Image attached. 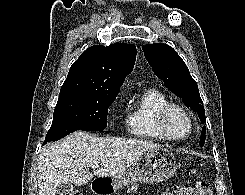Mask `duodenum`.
I'll use <instances>...</instances> for the list:
<instances>
[{"label":"duodenum","mask_w":245,"mask_h":195,"mask_svg":"<svg viewBox=\"0 0 245 195\" xmlns=\"http://www.w3.org/2000/svg\"><path fill=\"white\" fill-rule=\"evenodd\" d=\"M92 189L96 195H110L113 191L111 183L107 180L93 182Z\"/></svg>","instance_id":"obj_1"}]
</instances>
